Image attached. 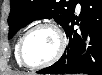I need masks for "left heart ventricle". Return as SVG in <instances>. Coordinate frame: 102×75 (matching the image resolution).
Returning a JSON list of instances; mask_svg holds the SVG:
<instances>
[{
  "mask_svg": "<svg viewBox=\"0 0 102 75\" xmlns=\"http://www.w3.org/2000/svg\"><path fill=\"white\" fill-rule=\"evenodd\" d=\"M58 47L56 33L49 28H39L27 38L24 56L29 63L46 62L56 54Z\"/></svg>",
  "mask_w": 102,
  "mask_h": 75,
  "instance_id": "b2bd125f",
  "label": "left heart ventricle"
}]
</instances>
